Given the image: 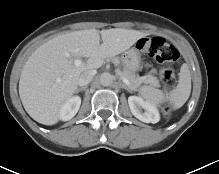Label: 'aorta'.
Wrapping results in <instances>:
<instances>
[{
  "instance_id": "762f6f07",
  "label": "aorta",
  "mask_w": 219,
  "mask_h": 174,
  "mask_svg": "<svg viewBox=\"0 0 219 174\" xmlns=\"http://www.w3.org/2000/svg\"><path fill=\"white\" fill-rule=\"evenodd\" d=\"M113 82V76L108 73V72H104L101 74L100 76V84L102 86H110Z\"/></svg>"
}]
</instances>
